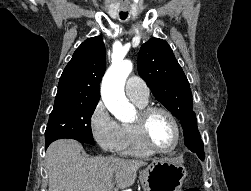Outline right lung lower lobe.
Masks as SVG:
<instances>
[{
    "mask_svg": "<svg viewBox=\"0 0 251 191\" xmlns=\"http://www.w3.org/2000/svg\"><path fill=\"white\" fill-rule=\"evenodd\" d=\"M80 142H82V141H80ZM82 143H85V142H82ZM85 144H87V143H85ZM47 147H48V146H45V150L47 149Z\"/></svg>",
    "mask_w": 251,
    "mask_h": 191,
    "instance_id": "1",
    "label": "right lung lower lobe"
}]
</instances>
